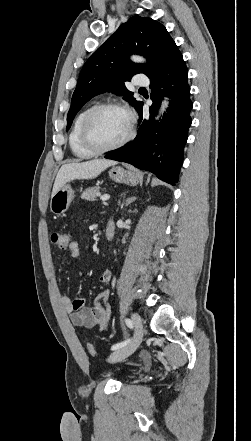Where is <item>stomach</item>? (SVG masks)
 Masks as SVG:
<instances>
[{"instance_id":"1","label":"stomach","mask_w":251,"mask_h":441,"mask_svg":"<svg viewBox=\"0 0 251 441\" xmlns=\"http://www.w3.org/2000/svg\"><path fill=\"white\" fill-rule=\"evenodd\" d=\"M110 178L116 183H125L135 186L139 182V175L133 170H125L122 167H113L109 170ZM75 197V192L69 184L64 185L52 197L50 210L55 215L66 212Z\"/></svg>"}]
</instances>
